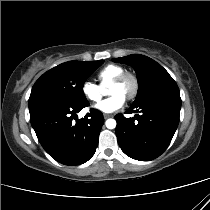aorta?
Here are the masks:
<instances>
[{"label":"aorta","mask_w":210,"mask_h":210,"mask_svg":"<svg viewBox=\"0 0 210 210\" xmlns=\"http://www.w3.org/2000/svg\"><path fill=\"white\" fill-rule=\"evenodd\" d=\"M106 127L108 128V129H114L115 127H116V120H114V119H108V120H106Z\"/></svg>","instance_id":"762f6f07"}]
</instances>
